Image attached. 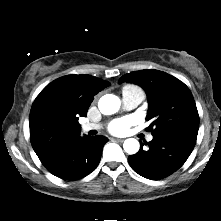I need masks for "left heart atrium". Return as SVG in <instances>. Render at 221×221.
Listing matches in <instances>:
<instances>
[{
	"instance_id": "1",
	"label": "left heart atrium",
	"mask_w": 221,
	"mask_h": 221,
	"mask_svg": "<svg viewBox=\"0 0 221 221\" xmlns=\"http://www.w3.org/2000/svg\"><path fill=\"white\" fill-rule=\"evenodd\" d=\"M133 120L131 118H122L113 121L110 126L109 130L113 134H124L128 131L129 126L132 124Z\"/></svg>"
}]
</instances>
